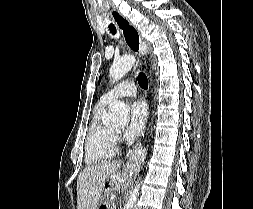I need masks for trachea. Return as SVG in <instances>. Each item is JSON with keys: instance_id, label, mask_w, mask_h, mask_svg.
Instances as JSON below:
<instances>
[{"instance_id": "1", "label": "trachea", "mask_w": 253, "mask_h": 209, "mask_svg": "<svg viewBox=\"0 0 253 209\" xmlns=\"http://www.w3.org/2000/svg\"><path fill=\"white\" fill-rule=\"evenodd\" d=\"M126 27L127 26H124V25L120 26V28H122L124 30V32H125ZM109 29H110L111 33H113V34L116 33V29H115L114 25L111 24ZM137 80H138V83H139L141 88H143V89L148 88V79H147V76L144 73L140 72L138 77H137Z\"/></svg>"}]
</instances>
